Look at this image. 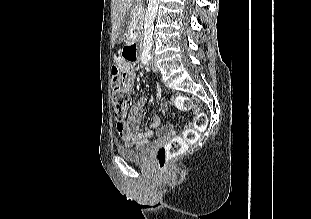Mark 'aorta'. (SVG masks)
I'll return each instance as SVG.
<instances>
[{
  "label": "aorta",
  "mask_w": 311,
  "mask_h": 219,
  "mask_svg": "<svg viewBox=\"0 0 311 219\" xmlns=\"http://www.w3.org/2000/svg\"><path fill=\"white\" fill-rule=\"evenodd\" d=\"M159 0H149L144 20L143 47L150 49L153 44L154 20L158 10Z\"/></svg>",
  "instance_id": "aorta-1"
}]
</instances>
